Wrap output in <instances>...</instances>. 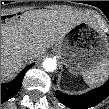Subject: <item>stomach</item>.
<instances>
[{
  "label": "stomach",
  "mask_w": 109,
  "mask_h": 109,
  "mask_svg": "<svg viewBox=\"0 0 109 109\" xmlns=\"http://www.w3.org/2000/svg\"><path fill=\"white\" fill-rule=\"evenodd\" d=\"M55 51L71 74L80 75L109 62V38L101 28L81 22L55 46Z\"/></svg>",
  "instance_id": "1"
}]
</instances>
